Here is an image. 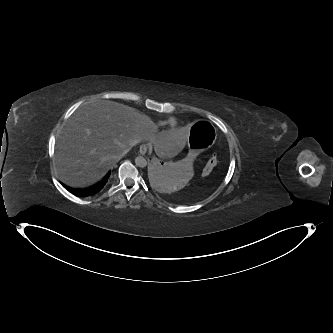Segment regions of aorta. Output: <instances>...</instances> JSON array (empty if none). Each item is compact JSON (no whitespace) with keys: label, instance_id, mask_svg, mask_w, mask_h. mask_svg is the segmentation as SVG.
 Wrapping results in <instances>:
<instances>
[{"label":"aorta","instance_id":"762f6f07","mask_svg":"<svg viewBox=\"0 0 333 333\" xmlns=\"http://www.w3.org/2000/svg\"><path fill=\"white\" fill-rule=\"evenodd\" d=\"M135 164L140 168H144L147 166V160L144 157L139 156L135 159Z\"/></svg>","mask_w":333,"mask_h":333}]
</instances>
